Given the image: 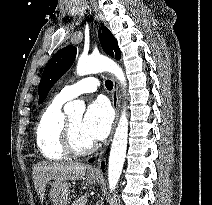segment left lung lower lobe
<instances>
[{"label": "left lung lower lobe", "mask_w": 212, "mask_h": 205, "mask_svg": "<svg viewBox=\"0 0 212 205\" xmlns=\"http://www.w3.org/2000/svg\"><path fill=\"white\" fill-rule=\"evenodd\" d=\"M93 161H94L93 159H90V160H89V162H91V163H92ZM102 168H104V164H102Z\"/></svg>", "instance_id": "obj_1"}]
</instances>
